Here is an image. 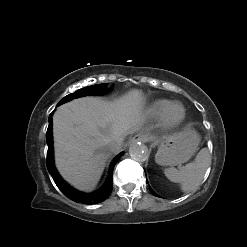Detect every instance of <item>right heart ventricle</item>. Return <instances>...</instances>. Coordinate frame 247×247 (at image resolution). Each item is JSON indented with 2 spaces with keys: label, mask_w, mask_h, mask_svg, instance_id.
Here are the masks:
<instances>
[{
  "label": "right heart ventricle",
  "mask_w": 247,
  "mask_h": 247,
  "mask_svg": "<svg viewBox=\"0 0 247 247\" xmlns=\"http://www.w3.org/2000/svg\"><path fill=\"white\" fill-rule=\"evenodd\" d=\"M172 104L170 100L159 99L154 101L148 108V115L152 118L161 117L163 112Z\"/></svg>",
  "instance_id": "right-heart-ventricle-1"
}]
</instances>
